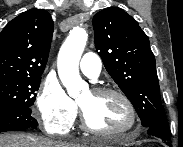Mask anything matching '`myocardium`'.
Here are the masks:
<instances>
[{"label":"myocardium","mask_w":183,"mask_h":147,"mask_svg":"<svg viewBox=\"0 0 183 147\" xmlns=\"http://www.w3.org/2000/svg\"><path fill=\"white\" fill-rule=\"evenodd\" d=\"M91 92L95 95L102 96V95H113L120 98L124 104L126 105L129 114H130V124L127 128L121 130H101L93 127L89 122L87 115L83 109V107L79 104L80 108V118L81 124L84 130L87 132L94 134V135H101V136H120L132 133L138 126V114L136 108L131 101V99L121 92L120 90L109 88V87H98L91 90Z\"/></svg>","instance_id":"myocardium-1"}]
</instances>
